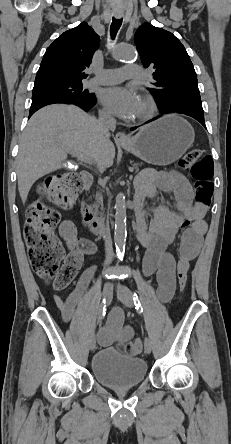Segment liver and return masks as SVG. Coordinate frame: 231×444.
<instances>
[{"instance_id":"6515ba94","label":"liver","mask_w":231,"mask_h":444,"mask_svg":"<svg viewBox=\"0 0 231 444\" xmlns=\"http://www.w3.org/2000/svg\"><path fill=\"white\" fill-rule=\"evenodd\" d=\"M68 152L87 155L102 170L111 167L115 157L110 134L79 107L53 104L38 110L21 135L16 160L23 202L39 178L61 168Z\"/></svg>"}]
</instances>
